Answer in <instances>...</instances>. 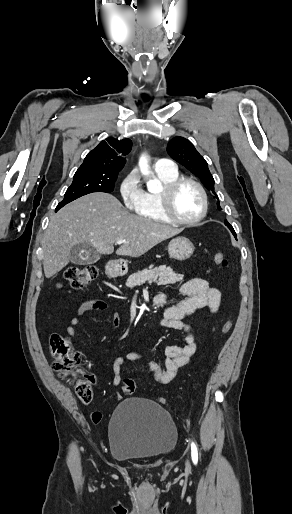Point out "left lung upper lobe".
I'll return each mask as SVG.
<instances>
[{
    "label": "left lung upper lobe",
    "instance_id": "5c2ea615",
    "mask_svg": "<svg viewBox=\"0 0 292 514\" xmlns=\"http://www.w3.org/2000/svg\"><path fill=\"white\" fill-rule=\"evenodd\" d=\"M167 152L172 159L186 167L194 175L199 177L203 185L207 190L214 191V179L208 169L206 160L198 153L194 145L186 138L175 137L168 142ZM218 199V197L216 196ZM217 208L222 210L217 202ZM224 224L230 229L233 235L236 237V233L233 227L225 220Z\"/></svg>",
    "mask_w": 292,
    "mask_h": 514
}]
</instances>
